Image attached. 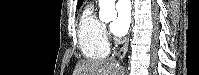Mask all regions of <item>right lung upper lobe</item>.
<instances>
[{"label":"right lung upper lobe","mask_w":199,"mask_h":75,"mask_svg":"<svg viewBox=\"0 0 199 75\" xmlns=\"http://www.w3.org/2000/svg\"><path fill=\"white\" fill-rule=\"evenodd\" d=\"M82 3H83V0H78V5H77V7L80 8V6L82 5Z\"/></svg>","instance_id":"1"}]
</instances>
